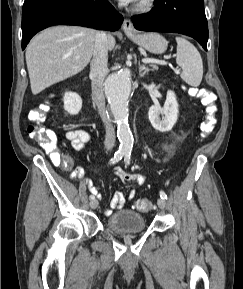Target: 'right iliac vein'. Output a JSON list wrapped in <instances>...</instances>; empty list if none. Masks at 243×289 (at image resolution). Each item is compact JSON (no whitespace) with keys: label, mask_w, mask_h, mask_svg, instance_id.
Masks as SVG:
<instances>
[{"label":"right iliac vein","mask_w":243,"mask_h":289,"mask_svg":"<svg viewBox=\"0 0 243 289\" xmlns=\"http://www.w3.org/2000/svg\"><path fill=\"white\" fill-rule=\"evenodd\" d=\"M97 206H98V200L97 199H91V201H90V207L92 208V209H95V208H97Z\"/></svg>","instance_id":"63e3f726"}]
</instances>
